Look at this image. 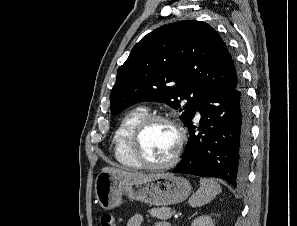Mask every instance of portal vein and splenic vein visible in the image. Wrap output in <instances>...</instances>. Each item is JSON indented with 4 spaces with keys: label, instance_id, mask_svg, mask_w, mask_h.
Instances as JSON below:
<instances>
[{
    "label": "portal vein and splenic vein",
    "instance_id": "obj_1",
    "mask_svg": "<svg viewBox=\"0 0 297 226\" xmlns=\"http://www.w3.org/2000/svg\"><path fill=\"white\" fill-rule=\"evenodd\" d=\"M176 212H175V210H172V214H175Z\"/></svg>",
    "mask_w": 297,
    "mask_h": 226
}]
</instances>
